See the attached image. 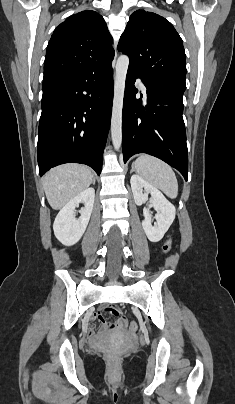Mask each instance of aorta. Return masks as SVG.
I'll use <instances>...</instances> for the list:
<instances>
[{
	"instance_id": "aorta-1",
	"label": "aorta",
	"mask_w": 235,
	"mask_h": 404,
	"mask_svg": "<svg viewBox=\"0 0 235 404\" xmlns=\"http://www.w3.org/2000/svg\"><path fill=\"white\" fill-rule=\"evenodd\" d=\"M128 65V56L121 55L116 63V76L114 81V97L111 118V136L113 146L116 150L120 148L122 142V109Z\"/></svg>"
}]
</instances>
